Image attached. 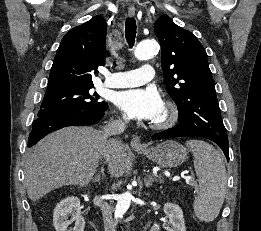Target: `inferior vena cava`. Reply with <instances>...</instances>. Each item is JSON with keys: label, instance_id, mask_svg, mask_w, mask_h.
Listing matches in <instances>:
<instances>
[{"label": "inferior vena cava", "instance_id": "602c4592", "mask_svg": "<svg viewBox=\"0 0 261 231\" xmlns=\"http://www.w3.org/2000/svg\"><path fill=\"white\" fill-rule=\"evenodd\" d=\"M127 122V118H124L123 120L119 119L112 121L104 127L102 132L106 141L104 157L107 162H109L112 158L115 157L121 145V142L119 140L113 138L108 140V137L123 133L126 129ZM100 208L102 210L105 231H115L114 221L112 218V212L109 204L106 202H102Z\"/></svg>", "mask_w": 261, "mask_h": 231}]
</instances>
